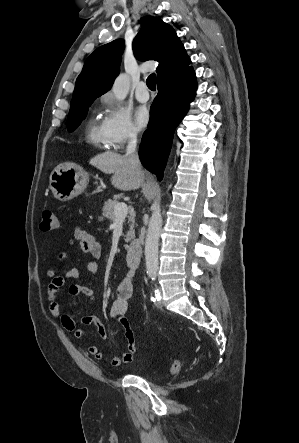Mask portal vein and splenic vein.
<instances>
[{"mask_svg":"<svg viewBox=\"0 0 299 443\" xmlns=\"http://www.w3.org/2000/svg\"><path fill=\"white\" fill-rule=\"evenodd\" d=\"M128 207L125 203H118L114 208V215L117 220H122L127 216Z\"/></svg>","mask_w":299,"mask_h":443,"instance_id":"1","label":"portal vein and splenic vein"}]
</instances>
